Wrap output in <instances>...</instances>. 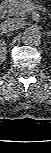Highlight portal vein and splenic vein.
Segmentation results:
<instances>
[{
    "label": "portal vein and splenic vein",
    "mask_w": 51,
    "mask_h": 153,
    "mask_svg": "<svg viewBox=\"0 0 51 153\" xmlns=\"http://www.w3.org/2000/svg\"><path fill=\"white\" fill-rule=\"evenodd\" d=\"M37 7L33 6L32 4L30 6L27 7V11L28 12H31L33 11L34 9H36Z\"/></svg>",
    "instance_id": "portal-vein-and-splenic-vein-1"
}]
</instances>
